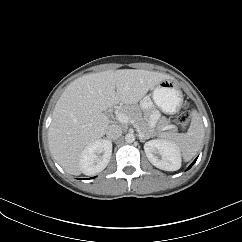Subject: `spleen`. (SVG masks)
I'll return each instance as SVG.
<instances>
[{
	"mask_svg": "<svg viewBox=\"0 0 242 242\" xmlns=\"http://www.w3.org/2000/svg\"><path fill=\"white\" fill-rule=\"evenodd\" d=\"M191 118L187 133L166 137V140L175 143L181 149L185 161H190L197 154L204 138V125L197 111L191 112Z\"/></svg>",
	"mask_w": 242,
	"mask_h": 242,
	"instance_id": "obj_1",
	"label": "spleen"
}]
</instances>
